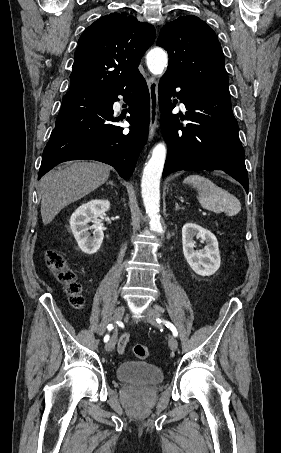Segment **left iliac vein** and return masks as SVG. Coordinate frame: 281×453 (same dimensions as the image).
Instances as JSON below:
<instances>
[{
  "label": "left iliac vein",
  "mask_w": 281,
  "mask_h": 453,
  "mask_svg": "<svg viewBox=\"0 0 281 453\" xmlns=\"http://www.w3.org/2000/svg\"><path fill=\"white\" fill-rule=\"evenodd\" d=\"M159 310H149V308L147 309V316L145 319H147V322H150V325H155V320H152L153 318H157L160 314L158 313ZM148 317V318H147ZM156 327L157 328H160L161 327V324L160 323H157L156 324ZM168 341L170 342L169 343V346L170 348L173 350H175L178 346V343H177V339L174 338L172 335L168 338Z\"/></svg>",
  "instance_id": "1"
}]
</instances>
